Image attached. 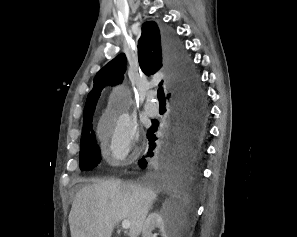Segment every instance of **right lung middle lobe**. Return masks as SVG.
I'll return each instance as SVG.
<instances>
[{
	"mask_svg": "<svg viewBox=\"0 0 297 237\" xmlns=\"http://www.w3.org/2000/svg\"><path fill=\"white\" fill-rule=\"evenodd\" d=\"M92 125L83 128V136L80 145V168L89 170L100 162V151L94 138Z\"/></svg>",
	"mask_w": 297,
	"mask_h": 237,
	"instance_id": "obj_1",
	"label": "right lung middle lobe"
}]
</instances>
